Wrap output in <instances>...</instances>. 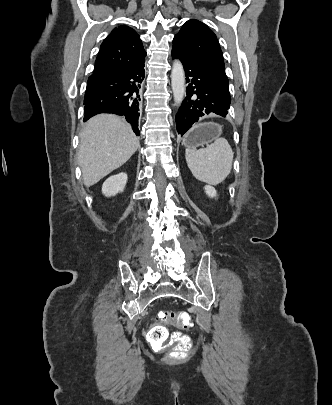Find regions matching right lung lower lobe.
<instances>
[{
    "label": "right lung lower lobe",
    "instance_id": "98d812e1",
    "mask_svg": "<svg viewBox=\"0 0 332 405\" xmlns=\"http://www.w3.org/2000/svg\"><path fill=\"white\" fill-rule=\"evenodd\" d=\"M144 60L119 70L93 73L87 82L84 98V121L99 113L125 116L139 135L141 107L139 92L144 79Z\"/></svg>",
    "mask_w": 332,
    "mask_h": 405
}]
</instances>
